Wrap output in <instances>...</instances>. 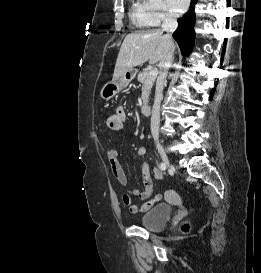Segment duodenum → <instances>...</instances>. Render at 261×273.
<instances>
[{"label":"duodenum","mask_w":261,"mask_h":273,"mask_svg":"<svg viewBox=\"0 0 261 273\" xmlns=\"http://www.w3.org/2000/svg\"><path fill=\"white\" fill-rule=\"evenodd\" d=\"M141 112H142V114H144V115H150V114H151V106H150V104L144 103V104L141 106Z\"/></svg>","instance_id":"duodenum-1"}]
</instances>
